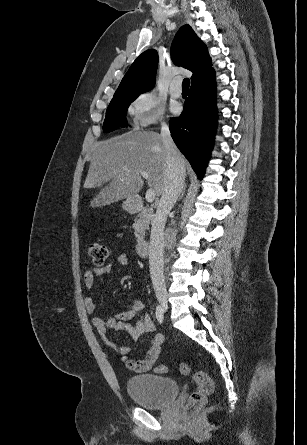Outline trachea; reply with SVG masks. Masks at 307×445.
<instances>
[{
	"instance_id": "obj_1",
	"label": "trachea",
	"mask_w": 307,
	"mask_h": 445,
	"mask_svg": "<svg viewBox=\"0 0 307 445\" xmlns=\"http://www.w3.org/2000/svg\"><path fill=\"white\" fill-rule=\"evenodd\" d=\"M189 85H190V80H189V78H184V80H183V83H182V88L183 89H188L189 88Z\"/></svg>"
}]
</instances>
